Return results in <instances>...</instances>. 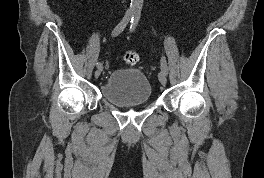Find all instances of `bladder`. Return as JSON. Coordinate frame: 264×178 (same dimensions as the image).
<instances>
[{
  "label": "bladder",
  "mask_w": 264,
  "mask_h": 178,
  "mask_svg": "<svg viewBox=\"0 0 264 178\" xmlns=\"http://www.w3.org/2000/svg\"><path fill=\"white\" fill-rule=\"evenodd\" d=\"M101 96L120 108L146 104L151 99V85L147 77L136 69H116L101 85Z\"/></svg>",
  "instance_id": "1"
}]
</instances>
